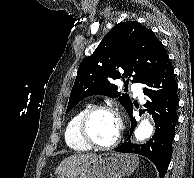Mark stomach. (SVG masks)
<instances>
[{
  "label": "stomach",
  "mask_w": 194,
  "mask_h": 178,
  "mask_svg": "<svg viewBox=\"0 0 194 178\" xmlns=\"http://www.w3.org/2000/svg\"><path fill=\"white\" fill-rule=\"evenodd\" d=\"M138 157L120 153H103L59 174L57 178H122L138 166Z\"/></svg>",
  "instance_id": "obj_1"
}]
</instances>
